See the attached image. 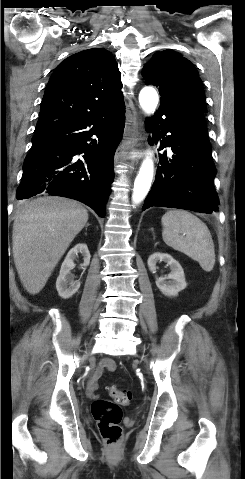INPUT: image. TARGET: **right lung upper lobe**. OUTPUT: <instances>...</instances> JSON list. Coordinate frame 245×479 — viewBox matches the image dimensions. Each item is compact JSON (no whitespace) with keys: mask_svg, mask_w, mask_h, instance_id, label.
Returning a JSON list of instances; mask_svg holds the SVG:
<instances>
[{"mask_svg":"<svg viewBox=\"0 0 245 479\" xmlns=\"http://www.w3.org/2000/svg\"><path fill=\"white\" fill-rule=\"evenodd\" d=\"M121 75L114 56L103 48L78 52L52 73L35 131L89 112L124 107Z\"/></svg>","mask_w":245,"mask_h":479,"instance_id":"cb5924a9","label":"right lung upper lobe"}]
</instances>
